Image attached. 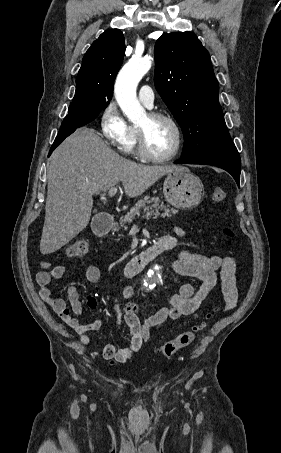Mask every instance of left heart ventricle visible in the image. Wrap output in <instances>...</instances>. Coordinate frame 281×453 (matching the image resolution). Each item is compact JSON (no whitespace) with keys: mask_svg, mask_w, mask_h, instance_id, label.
Listing matches in <instances>:
<instances>
[{"mask_svg":"<svg viewBox=\"0 0 281 453\" xmlns=\"http://www.w3.org/2000/svg\"><path fill=\"white\" fill-rule=\"evenodd\" d=\"M138 126L145 130L148 147L154 154L164 156L171 151L175 134L167 122H150L146 115Z\"/></svg>","mask_w":281,"mask_h":453,"instance_id":"1","label":"left heart ventricle"}]
</instances>
